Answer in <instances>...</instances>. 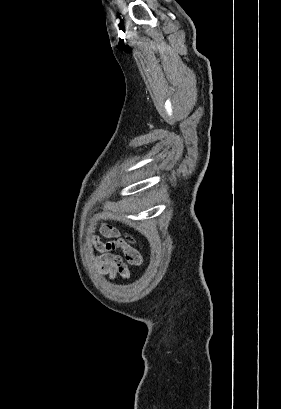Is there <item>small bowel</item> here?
I'll use <instances>...</instances> for the list:
<instances>
[{
  "mask_svg": "<svg viewBox=\"0 0 281 409\" xmlns=\"http://www.w3.org/2000/svg\"><path fill=\"white\" fill-rule=\"evenodd\" d=\"M89 233L91 235L88 238L89 243L100 252L97 260L101 271L111 279H115L118 275L125 279L128 278L130 276L128 266L136 267L140 264V252L138 250H132L131 244L125 243L120 238L119 232L112 226L108 224H103L102 226H90ZM101 234L110 239V241L102 242L97 236ZM115 249H121L124 252L127 263L124 262L120 255L113 252ZM138 258L139 262L137 261Z\"/></svg>",
  "mask_w": 281,
  "mask_h": 409,
  "instance_id": "obj_1",
  "label": "small bowel"
}]
</instances>
